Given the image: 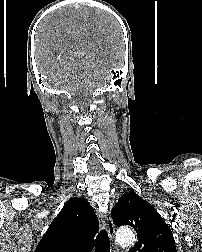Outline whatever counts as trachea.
<instances>
[{
    "label": "trachea",
    "mask_w": 202,
    "mask_h": 252,
    "mask_svg": "<svg viewBox=\"0 0 202 252\" xmlns=\"http://www.w3.org/2000/svg\"><path fill=\"white\" fill-rule=\"evenodd\" d=\"M109 237L105 230H101L96 237L95 252H109Z\"/></svg>",
    "instance_id": "3493384b"
}]
</instances>
